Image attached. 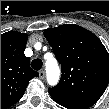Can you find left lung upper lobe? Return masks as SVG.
I'll return each instance as SVG.
<instances>
[{"instance_id":"1","label":"left lung upper lobe","mask_w":109,"mask_h":109,"mask_svg":"<svg viewBox=\"0 0 109 109\" xmlns=\"http://www.w3.org/2000/svg\"><path fill=\"white\" fill-rule=\"evenodd\" d=\"M61 64L57 86L49 90L89 107L102 96L109 83V54L90 31L75 24H65L44 31Z\"/></svg>"}]
</instances>
